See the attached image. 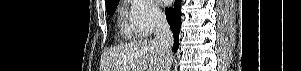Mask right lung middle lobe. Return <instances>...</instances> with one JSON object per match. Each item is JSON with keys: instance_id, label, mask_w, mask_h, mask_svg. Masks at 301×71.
<instances>
[{"instance_id": "obj_1", "label": "right lung middle lobe", "mask_w": 301, "mask_h": 71, "mask_svg": "<svg viewBox=\"0 0 301 71\" xmlns=\"http://www.w3.org/2000/svg\"><path fill=\"white\" fill-rule=\"evenodd\" d=\"M118 1L119 0H114V1H111V2L106 4V10H107L108 14H110V15L114 14V11L116 10Z\"/></svg>"}]
</instances>
